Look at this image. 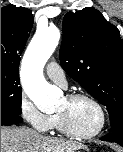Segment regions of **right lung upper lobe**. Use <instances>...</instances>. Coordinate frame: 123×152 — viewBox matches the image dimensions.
Wrapping results in <instances>:
<instances>
[{
	"label": "right lung upper lobe",
	"mask_w": 123,
	"mask_h": 152,
	"mask_svg": "<svg viewBox=\"0 0 123 152\" xmlns=\"http://www.w3.org/2000/svg\"><path fill=\"white\" fill-rule=\"evenodd\" d=\"M32 26L31 10L15 5L1 8V70L18 72Z\"/></svg>",
	"instance_id": "right-lung-upper-lobe-1"
}]
</instances>
